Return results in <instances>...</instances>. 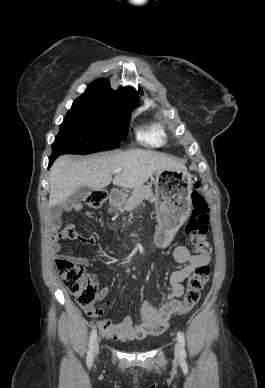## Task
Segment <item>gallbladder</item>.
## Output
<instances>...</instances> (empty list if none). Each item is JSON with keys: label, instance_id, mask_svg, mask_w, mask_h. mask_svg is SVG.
Returning <instances> with one entry per match:
<instances>
[{"label": "gallbladder", "instance_id": "1", "mask_svg": "<svg viewBox=\"0 0 265 388\" xmlns=\"http://www.w3.org/2000/svg\"><path fill=\"white\" fill-rule=\"evenodd\" d=\"M91 192V188H87V186H83V188H79L75 194H72L71 196V202H83L85 198H88L89 194Z\"/></svg>", "mask_w": 265, "mask_h": 388}]
</instances>
